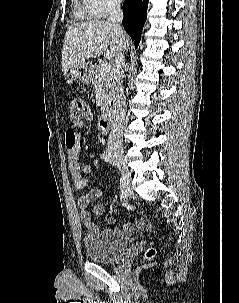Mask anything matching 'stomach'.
Segmentation results:
<instances>
[{"instance_id":"1","label":"stomach","mask_w":239,"mask_h":303,"mask_svg":"<svg viewBox=\"0 0 239 303\" xmlns=\"http://www.w3.org/2000/svg\"><path fill=\"white\" fill-rule=\"evenodd\" d=\"M69 74L74 80L81 83H89L91 80L90 68L85 61L71 66Z\"/></svg>"}]
</instances>
